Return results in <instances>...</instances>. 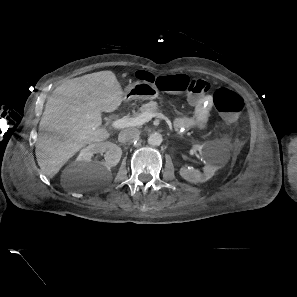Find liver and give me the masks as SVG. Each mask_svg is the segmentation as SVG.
<instances>
[{
  "label": "liver",
  "instance_id": "liver-1",
  "mask_svg": "<svg viewBox=\"0 0 297 297\" xmlns=\"http://www.w3.org/2000/svg\"><path fill=\"white\" fill-rule=\"evenodd\" d=\"M122 101L121 85L109 70L56 87L47 99L35 144L41 171L52 178L87 144L107 140L110 133L100 127L101 113L115 111Z\"/></svg>",
  "mask_w": 297,
  "mask_h": 297
}]
</instances>
